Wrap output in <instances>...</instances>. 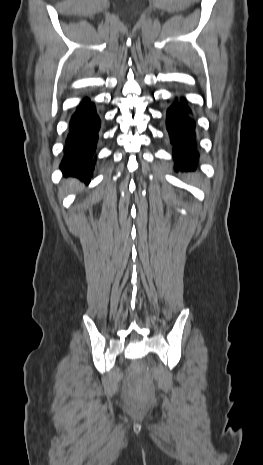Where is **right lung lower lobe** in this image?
Segmentation results:
<instances>
[{
	"label": "right lung lower lobe",
	"instance_id": "1",
	"mask_svg": "<svg viewBox=\"0 0 263 465\" xmlns=\"http://www.w3.org/2000/svg\"><path fill=\"white\" fill-rule=\"evenodd\" d=\"M100 117L95 104L84 99L70 121V130L60 168L65 175L75 176L88 183L96 160V144Z\"/></svg>",
	"mask_w": 263,
	"mask_h": 465
}]
</instances>
